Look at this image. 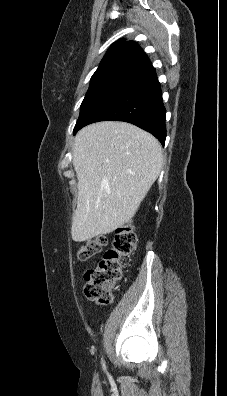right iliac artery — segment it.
<instances>
[{"label":"right iliac artery","instance_id":"right-iliac-artery-1","mask_svg":"<svg viewBox=\"0 0 227 396\" xmlns=\"http://www.w3.org/2000/svg\"><path fill=\"white\" fill-rule=\"evenodd\" d=\"M102 366H103V369L105 370L106 367H105V363H104L103 359H102Z\"/></svg>","mask_w":227,"mask_h":396}]
</instances>
